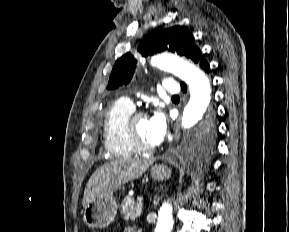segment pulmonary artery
Masks as SVG:
<instances>
[{"instance_id":"pulmonary-artery-1","label":"pulmonary artery","mask_w":289,"mask_h":232,"mask_svg":"<svg viewBox=\"0 0 289 232\" xmlns=\"http://www.w3.org/2000/svg\"><path fill=\"white\" fill-rule=\"evenodd\" d=\"M164 91L168 94H178L180 92V85L174 79H166L163 83ZM125 100L133 107V103L130 99L125 98Z\"/></svg>"}]
</instances>
